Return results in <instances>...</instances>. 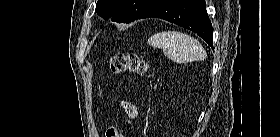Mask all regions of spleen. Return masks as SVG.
<instances>
[{
    "mask_svg": "<svg viewBox=\"0 0 280 137\" xmlns=\"http://www.w3.org/2000/svg\"><path fill=\"white\" fill-rule=\"evenodd\" d=\"M148 43L161 48L164 55L176 63L202 61L207 57L200 42L186 33L163 31L148 39Z\"/></svg>",
    "mask_w": 280,
    "mask_h": 137,
    "instance_id": "obj_1",
    "label": "spleen"
}]
</instances>
